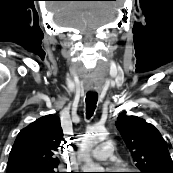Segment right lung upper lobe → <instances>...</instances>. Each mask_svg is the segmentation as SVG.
I'll return each instance as SVG.
<instances>
[{
	"instance_id": "cb5924a9",
	"label": "right lung upper lobe",
	"mask_w": 173,
	"mask_h": 173,
	"mask_svg": "<svg viewBox=\"0 0 173 173\" xmlns=\"http://www.w3.org/2000/svg\"><path fill=\"white\" fill-rule=\"evenodd\" d=\"M63 132L60 119L46 115L22 129L10 151L7 173H28L54 169Z\"/></svg>"
}]
</instances>
